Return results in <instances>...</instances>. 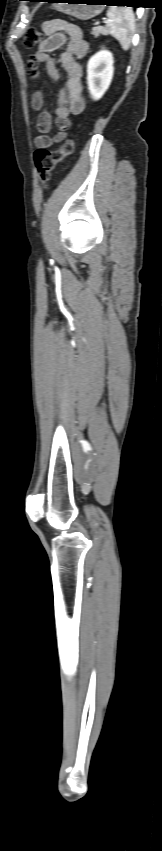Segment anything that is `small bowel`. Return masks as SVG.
<instances>
[{
  "instance_id": "small-bowel-1",
  "label": "small bowel",
  "mask_w": 162,
  "mask_h": 851,
  "mask_svg": "<svg viewBox=\"0 0 162 851\" xmlns=\"http://www.w3.org/2000/svg\"><path fill=\"white\" fill-rule=\"evenodd\" d=\"M42 29L46 38L40 43L35 53L28 59V70L32 76H37L38 63H43L47 73L55 80L60 78L59 70L55 60L50 53L66 45V50L60 56V63L67 75L65 88L61 89L57 97V107L54 110V118L59 131L50 136L53 115L46 109V101L41 90H36L32 95L31 108L38 113L36 128L40 133L34 139L36 147L47 148L54 143H59L66 137V130L72 127L71 115H78L85 108L82 95V67L79 59L85 57L89 45L83 37L81 29L66 20L54 19L45 21Z\"/></svg>"
}]
</instances>
